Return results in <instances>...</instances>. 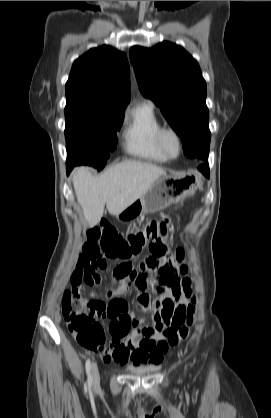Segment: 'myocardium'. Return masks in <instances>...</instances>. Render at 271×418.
<instances>
[{
  "label": "myocardium",
  "mask_w": 271,
  "mask_h": 418,
  "mask_svg": "<svg viewBox=\"0 0 271 418\" xmlns=\"http://www.w3.org/2000/svg\"><path fill=\"white\" fill-rule=\"evenodd\" d=\"M171 135L176 140L177 150L174 154L170 153L164 143L165 137ZM156 143L159 150L168 158L173 159L180 155L182 150V139L179 132L173 127H161L156 134Z\"/></svg>",
  "instance_id": "f54148a6"
}]
</instances>
